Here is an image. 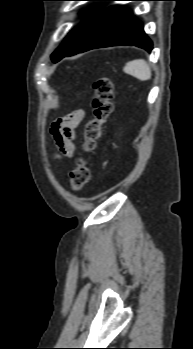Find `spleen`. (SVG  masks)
<instances>
[{
  "instance_id": "3e777b00",
  "label": "spleen",
  "mask_w": 193,
  "mask_h": 349,
  "mask_svg": "<svg viewBox=\"0 0 193 349\" xmlns=\"http://www.w3.org/2000/svg\"><path fill=\"white\" fill-rule=\"evenodd\" d=\"M124 71L141 81L149 80L152 75L148 63L143 59L128 62L124 67Z\"/></svg>"
}]
</instances>
